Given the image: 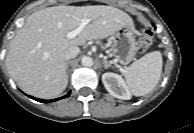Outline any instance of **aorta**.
<instances>
[{"instance_id":"obj_1","label":"aorta","mask_w":194,"mask_h":133,"mask_svg":"<svg viewBox=\"0 0 194 133\" xmlns=\"http://www.w3.org/2000/svg\"><path fill=\"white\" fill-rule=\"evenodd\" d=\"M82 65L85 67H91L93 65V60L91 57L85 56L82 58Z\"/></svg>"}]
</instances>
